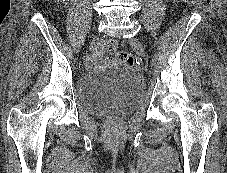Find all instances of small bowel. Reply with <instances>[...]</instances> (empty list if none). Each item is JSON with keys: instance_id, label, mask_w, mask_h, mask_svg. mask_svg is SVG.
Here are the masks:
<instances>
[{"instance_id": "small-bowel-1", "label": "small bowel", "mask_w": 227, "mask_h": 173, "mask_svg": "<svg viewBox=\"0 0 227 173\" xmlns=\"http://www.w3.org/2000/svg\"><path fill=\"white\" fill-rule=\"evenodd\" d=\"M103 48H104V44H102L100 46L99 50L96 52L95 57H94L95 61L99 60V58L101 57Z\"/></svg>"}]
</instances>
